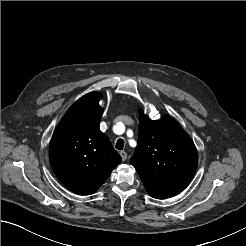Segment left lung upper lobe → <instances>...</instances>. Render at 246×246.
I'll use <instances>...</instances> for the list:
<instances>
[{
  "label": "left lung upper lobe",
  "mask_w": 246,
  "mask_h": 246,
  "mask_svg": "<svg viewBox=\"0 0 246 246\" xmlns=\"http://www.w3.org/2000/svg\"><path fill=\"white\" fill-rule=\"evenodd\" d=\"M130 164L148 193L171 197L191 181L198 154L192 139L172 117L153 121L141 114L138 144Z\"/></svg>",
  "instance_id": "obj_1"
}]
</instances>
